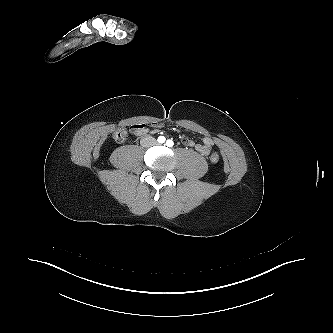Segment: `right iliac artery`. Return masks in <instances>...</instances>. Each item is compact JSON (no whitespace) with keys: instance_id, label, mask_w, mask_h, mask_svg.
I'll return each instance as SVG.
<instances>
[{"instance_id":"right-iliac-artery-1","label":"right iliac artery","mask_w":333,"mask_h":333,"mask_svg":"<svg viewBox=\"0 0 333 333\" xmlns=\"http://www.w3.org/2000/svg\"><path fill=\"white\" fill-rule=\"evenodd\" d=\"M165 140H166V139H165L164 136H159V137H158V142L161 143V144L164 143Z\"/></svg>"}]
</instances>
